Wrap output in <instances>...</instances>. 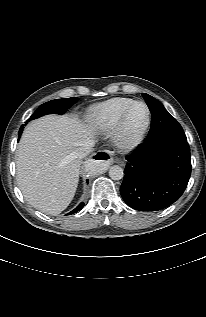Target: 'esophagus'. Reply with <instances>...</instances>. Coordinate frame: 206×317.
I'll list each match as a JSON object with an SVG mask.
<instances>
[{
  "instance_id": "obj_1",
  "label": "esophagus",
  "mask_w": 206,
  "mask_h": 317,
  "mask_svg": "<svg viewBox=\"0 0 206 317\" xmlns=\"http://www.w3.org/2000/svg\"><path fill=\"white\" fill-rule=\"evenodd\" d=\"M93 162L100 163L106 167L110 166L113 163L112 151L110 150H101L94 154Z\"/></svg>"
}]
</instances>
